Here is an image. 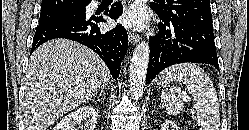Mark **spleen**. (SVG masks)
<instances>
[{
  "mask_svg": "<svg viewBox=\"0 0 249 130\" xmlns=\"http://www.w3.org/2000/svg\"><path fill=\"white\" fill-rule=\"evenodd\" d=\"M167 83L172 80L183 82L193 97L197 124L200 130H219L220 114L216 89L207 73L196 64L183 63L171 66L160 74ZM181 90H162L161 104L169 115H178L183 110Z\"/></svg>",
  "mask_w": 249,
  "mask_h": 130,
  "instance_id": "3e777b00",
  "label": "spleen"
}]
</instances>
